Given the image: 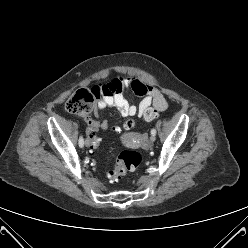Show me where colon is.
I'll use <instances>...</instances> for the list:
<instances>
[{
    "mask_svg": "<svg viewBox=\"0 0 248 248\" xmlns=\"http://www.w3.org/2000/svg\"><path fill=\"white\" fill-rule=\"evenodd\" d=\"M110 91L112 88L107 87ZM104 91L99 86L93 87L91 90L81 89L72 95L67 103L66 109L75 115L81 117H87L92 109L93 103ZM159 113L156 109H148L144 113V118L147 121L154 120L158 117ZM124 126L126 129H132L135 126V120L132 117H127L124 120ZM114 132L120 129L117 123L111 126ZM85 142L90 148H98L101 145V138L98 136V132L94 128H89L85 132ZM143 157L141 153L136 150H126L120 153L114 166L108 172V178L111 180H119L125 176L128 172L136 171L142 164Z\"/></svg>",
    "mask_w": 248,
    "mask_h": 248,
    "instance_id": "colon-1",
    "label": "colon"
}]
</instances>
